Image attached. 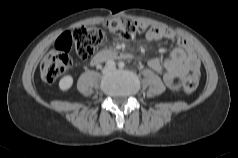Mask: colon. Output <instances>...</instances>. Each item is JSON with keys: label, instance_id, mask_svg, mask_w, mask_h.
Segmentation results:
<instances>
[{"label": "colon", "instance_id": "1", "mask_svg": "<svg viewBox=\"0 0 238 158\" xmlns=\"http://www.w3.org/2000/svg\"><path fill=\"white\" fill-rule=\"evenodd\" d=\"M110 33L125 39L147 35L149 28L125 19H111L104 25ZM104 33L96 27H76L58 38L55 47L43 59L40 66L42 79L47 83L54 82L73 64L70 52L74 50L80 57L89 58L103 42ZM200 81L199 70L193 71L185 80L183 90L190 94L196 90Z\"/></svg>", "mask_w": 238, "mask_h": 158}]
</instances>
